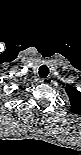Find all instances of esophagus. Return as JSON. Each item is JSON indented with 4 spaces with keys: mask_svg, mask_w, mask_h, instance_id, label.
<instances>
[{
    "mask_svg": "<svg viewBox=\"0 0 81 155\" xmlns=\"http://www.w3.org/2000/svg\"><path fill=\"white\" fill-rule=\"evenodd\" d=\"M40 82L43 83V84L49 85V84L52 83V79H51L50 77L41 78V79H40Z\"/></svg>",
    "mask_w": 81,
    "mask_h": 155,
    "instance_id": "1",
    "label": "esophagus"
}]
</instances>
